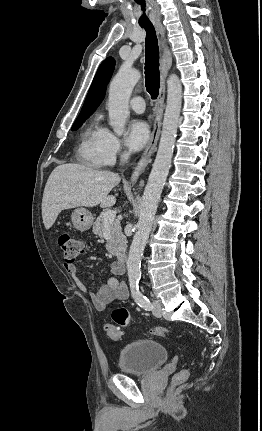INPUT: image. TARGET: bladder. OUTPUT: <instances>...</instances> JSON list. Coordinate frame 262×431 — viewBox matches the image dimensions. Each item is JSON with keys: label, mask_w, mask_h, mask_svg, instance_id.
<instances>
[{"label": "bladder", "mask_w": 262, "mask_h": 431, "mask_svg": "<svg viewBox=\"0 0 262 431\" xmlns=\"http://www.w3.org/2000/svg\"><path fill=\"white\" fill-rule=\"evenodd\" d=\"M169 353L159 342L140 338L127 344L118 357L121 372L145 375L153 372L167 361Z\"/></svg>", "instance_id": "bladder-1"}]
</instances>
